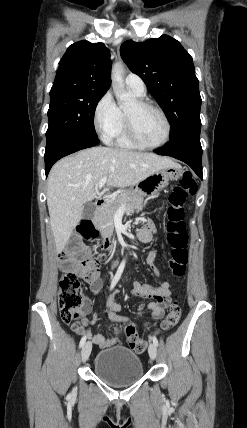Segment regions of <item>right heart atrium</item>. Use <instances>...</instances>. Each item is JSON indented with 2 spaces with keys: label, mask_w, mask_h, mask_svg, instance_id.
<instances>
[{
  "label": "right heart atrium",
  "mask_w": 247,
  "mask_h": 428,
  "mask_svg": "<svg viewBox=\"0 0 247 428\" xmlns=\"http://www.w3.org/2000/svg\"><path fill=\"white\" fill-rule=\"evenodd\" d=\"M93 121L97 133L105 142L115 138L121 123V113L110 92H106L97 102Z\"/></svg>",
  "instance_id": "1"
}]
</instances>
